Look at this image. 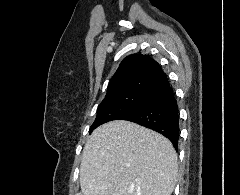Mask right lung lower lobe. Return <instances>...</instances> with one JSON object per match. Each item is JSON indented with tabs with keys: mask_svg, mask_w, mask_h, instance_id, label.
Masks as SVG:
<instances>
[{
	"mask_svg": "<svg viewBox=\"0 0 240 195\" xmlns=\"http://www.w3.org/2000/svg\"><path fill=\"white\" fill-rule=\"evenodd\" d=\"M118 120H128L153 129L167 137L178 150V105L168 79L153 87L137 107Z\"/></svg>",
	"mask_w": 240,
	"mask_h": 195,
	"instance_id": "1",
	"label": "right lung lower lobe"
}]
</instances>
